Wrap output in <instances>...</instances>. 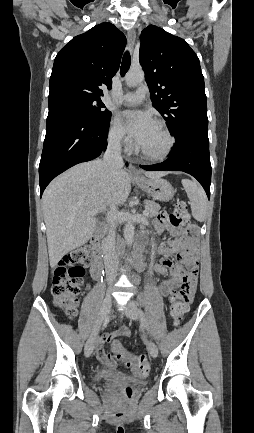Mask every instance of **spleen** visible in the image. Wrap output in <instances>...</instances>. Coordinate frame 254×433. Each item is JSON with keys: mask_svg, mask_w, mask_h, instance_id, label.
<instances>
[{"mask_svg": "<svg viewBox=\"0 0 254 433\" xmlns=\"http://www.w3.org/2000/svg\"><path fill=\"white\" fill-rule=\"evenodd\" d=\"M182 185L190 200L192 216L199 222H203L207 215V197L201 186L188 179H182Z\"/></svg>", "mask_w": 254, "mask_h": 433, "instance_id": "3e777b00", "label": "spleen"}]
</instances>
